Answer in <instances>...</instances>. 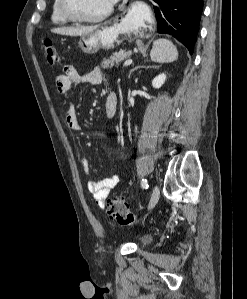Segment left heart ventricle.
Masks as SVG:
<instances>
[{
  "mask_svg": "<svg viewBox=\"0 0 247 299\" xmlns=\"http://www.w3.org/2000/svg\"><path fill=\"white\" fill-rule=\"evenodd\" d=\"M71 10L80 16L93 17L104 12L110 0H69Z\"/></svg>",
  "mask_w": 247,
  "mask_h": 299,
  "instance_id": "1",
  "label": "left heart ventricle"
}]
</instances>
